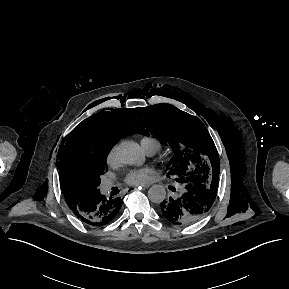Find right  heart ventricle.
<instances>
[{
    "label": "right heart ventricle",
    "mask_w": 289,
    "mask_h": 289,
    "mask_svg": "<svg viewBox=\"0 0 289 289\" xmlns=\"http://www.w3.org/2000/svg\"><path fill=\"white\" fill-rule=\"evenodd\" d=\"M151 144H158L159 145L158 141L152 137H143L141 139V145L144 149H146Z\"/></svg>",
    "instance_id": "obj_1"
}]
</instances>
